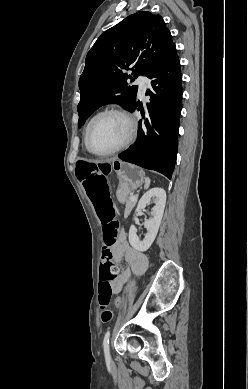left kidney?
<instances>
[{
    "mask_svg": "<svg viewBox=\"0 0 248 389\" xmlns=\"http://www.w3.org/2000/svg\"><path fill=\"white\" fill-rule=\"evenodd\" d=\"M151 200H153L155 206L152 208L151 217L144 221V227L147 229L144 239L140 240L134 225H131L129 229V242L131 246L141 252L150 248L158 233L166 203L165 190L155 187L147 191L139 200L136 212L143 210Z\"/></svg>",
    "mask_w": 248,
    "mask_h": 389,
    "instance_id": "obj_1",
    "label": "left kidney"
}]
</instances>
